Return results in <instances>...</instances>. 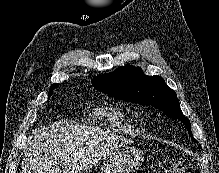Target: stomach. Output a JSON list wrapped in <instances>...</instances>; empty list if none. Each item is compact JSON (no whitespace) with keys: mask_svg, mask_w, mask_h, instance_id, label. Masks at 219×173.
I'll list each match as a JSON object with an SVG mask.
<instances>
[{"mask_svg":"<svg viewBox=\"0 0 219 173\" xmlns=\"http://www.w3.org/2000/svg\"><path fill=\"white\" fill-rule=\"evenodd\" d=\"M143 160L141 150L123 145L109 155L101 167V173H133Z\"/></svg>","mask_w":219,"mask_h":173,"instance_id":"0dacf381","label":"stomach"}]
</instances>
